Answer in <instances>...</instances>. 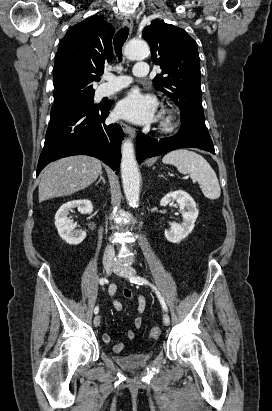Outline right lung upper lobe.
Wrapping results in <instances>:
<instances>
[{
    "label": "right lung upper lobe",
    "instance_id": "cb5924a9",
    "mask_svg": "<svg viewBox=\"0 0 272 411\" xmlns=\"http://www.w3.org/2000/svg\"><path fill=\"white\" fill-rule=\"evenodd\" d=\"M114 28L97 16L72 26L63 37L54 64V103L78 91L94 90L104 66L113 58Z\"/></svg>",
    "mask_w": 272,
    "mask_h": 411
}]
</instances>
